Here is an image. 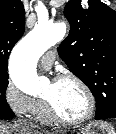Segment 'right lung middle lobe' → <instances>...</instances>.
<instances>
[{"instance_id": "1", "label": "right lung middle lobe", "mask_w": 116, "mask_h": 134, "mask_svg": "<svg viewBox=\"0 0 116 134\" xmlns=\"http://www.w3.org/2000/svg\"><path fill=\"white\" fill-rule=\"evenodd\" d=\"M8 74H0V118H4L13 113L9 107L5 92L8 86Z\"/></svg>"}]
</instances>
